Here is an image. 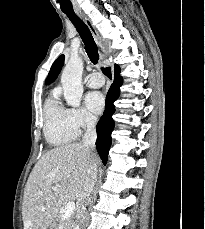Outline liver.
I'll list each match as a JSON object with an SVG mask.
<instances>
[{
    "instance_id": "6515ba94",
    "label": "liver",
    "mask_w": 205,
    "mask_h": 229,
    "mask_svg": "<svg viewBox=\"0 0 205 229\" xmlns=\"http://www.w3.org/2000/svg\"><path fill=\"white\" fill-rule=\"evenodd\" d=\"M90 164L98 158L82 143L56 147L44 153L27 180L22 204L25 229H47L68 200H80ZM58 186L53 191L52 187Z\"/></svg>"
}]
</instances>
